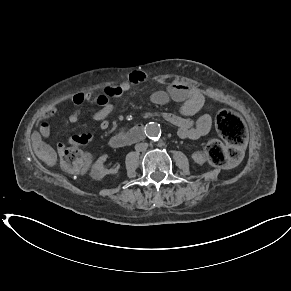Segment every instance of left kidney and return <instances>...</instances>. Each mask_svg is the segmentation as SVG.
Masks as SVG:
<instances>
[{
    "mask_svg": "<svg viewBox=\"0 0 291 291\" xmlns=\"http://www.w3.org/2000/svg\"><path fill=\"white\" fill-rule=\"evenodd\" d=\"M192 159L197 163V164H204L206 161L205 156L201 152H195L192 154Z\"/></svg>",
    "mask_w": 291,
    "mask_h": 291,
    "instance_id": "5707ae66",
    "label": "left kidney"
}]
</instances>
